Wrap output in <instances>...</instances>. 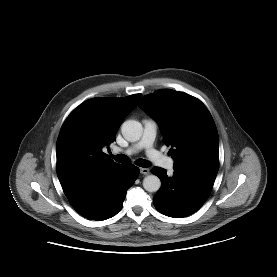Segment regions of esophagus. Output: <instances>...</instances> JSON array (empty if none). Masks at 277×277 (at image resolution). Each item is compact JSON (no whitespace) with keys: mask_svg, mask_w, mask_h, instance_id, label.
I'll use <instances>...</instances> for the list:
<instances>
[{"mask_svg":"<svg viewBox=\"0 0 277 277\" xmlns=\"http://www.w3.org/2000/svg\"><path fill=\"white\" fill-rule=\"evenodd\" d=\"M140 172L144 175H148L150 173L149 168H140Z\"/></svg>","mask_w":277,"mask_h":277,"instance_id":"34e87169","label":"esophagus"}]
</instances>
